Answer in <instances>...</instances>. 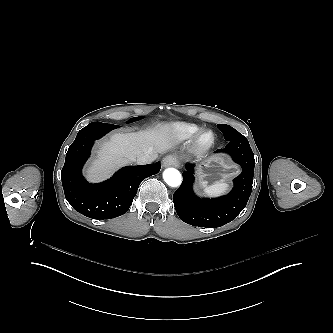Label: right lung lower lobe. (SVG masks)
Wrapping results in <instances>:
<instances>
[{
    "instance_id": "98d812e1",
    "label": "right lung lower lobe",
    "mask_w": 333,
    "mask_h": 333,
    "mask_svg": "<svg viewBox=\"0 0 333 333\" xmlns=\"http://www.w3.org/2000/svg\"><path fill=\"white\" fill-rule=\"evenodd\" d=\"M118 127L102 122L90 123L78 132L66 154L61 172L65 197L77 212L89 218L110 219L126 213L142 180L157 174L161 168L160 162L128 166L103 183H88L81 170L94 141Z\"/></svg>"
}]
</instances>
